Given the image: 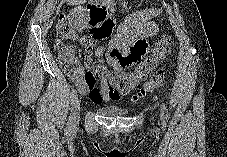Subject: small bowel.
Segmentation results:
<instances>
[{
    "mask_svg": "<svg viewBox=\"0 0 227 157\" xmlns=\"http://www.w3.org/2000/svg\"><path fill=\"white\" fill-rule=\"evenodd\" d=\"M163 15L161 8H146L130 14L119 26L117 32L108 40L106 46H99L95 52L97 61L112 67L117 73L129 67L123 62H140L143 54H147V39L154 36L158 30L156 20ZM75 84L79 92L89 96L95 104L118 100L120 94L110 86L106 78L100 79V88L90 83L83 67L78 65L74 70ZM143 77L133 76L131 89Z\"/></svg>",
    "mask_w": 227,
    "mask_h": 157,
    "instance_id": "c3829d8e",
    "label": "small bowel"
}]
</instances>
